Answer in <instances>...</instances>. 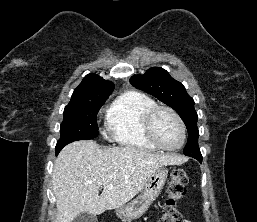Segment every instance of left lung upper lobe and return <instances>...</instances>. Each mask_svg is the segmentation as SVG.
<instances>
[{
    "mask_svg": "<svg viewBox=\"0 0 257 222\" xmlns=\"http://www.w3.org/2000/svg\"><path fill=\"white\" fill-rule=\"evenodd\" d=\"M130 83L137 89L153 95L179 114L187 127L189 136L184 154L193 158L202 157L198 146V116L194 109V100L187 94L183 84L173 79L160 67H152L143 75H133Z\"/></svg>",
    "mask_w": 257,
    "mask_h": 222,
    "instance_id": "obj_1",
    "label": "left lung upper lobe"
}]
</instances>
